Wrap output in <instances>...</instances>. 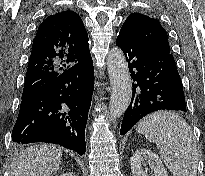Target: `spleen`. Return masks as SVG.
I'll list each match as a JSON object with an SVG mask.
<instances>
[{"label": "spleen", "instance_id": "1", "mask_svg": "<svg viewBox=\"0 0 205 176\" xmlns=\"http://www.w3.org/2000/svg\"><path fill=\"white\" fill-rule=\"evenodd\" d=\"M137 131L156 144L173 176L197 175V143L190 126L177 113L159 111L150 114L138 123Z\"/></svg>", "mask_w": 205, "mask_h": 176}]
</instances>
